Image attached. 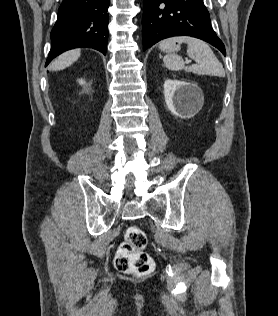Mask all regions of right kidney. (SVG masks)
Returning a JSON list of instances; mask_svg holds the SVG:
<instances>
[{
    "instance_id": "obj_1",
    "label": "right kidney",
    "mask_w": 278,
    "mask_h": 316,
    "mask_svg": "<svg viewBox=\"0 0 278 316\" xmlns=\"http://www.w3.org/2000/svg\"><path fill=\"white\" fill-rule=\"evenodd\" d=\"M80 85H85V81L83 79L78 81Z\"/></svg>"
}]
</instances>
